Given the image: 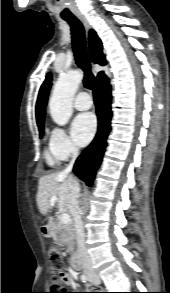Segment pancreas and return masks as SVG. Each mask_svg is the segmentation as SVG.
<instances>
[{
  "label": "pancreas",
  "instance_id": "cf45deb5",
  "mask_svg": "<svg viewBox=\"0 0 170 293\" xmlns=\"http://www.w3.org/2000/svg\"><path fill=\"white\" fill-rule=\"evenodd\" d=\"M52 236L57 244L67 246V251L71 254L74 253L76 234L73 223L63 224L61 221L56 222L52 229Z\"/></svg>",
  "mask_w": 170,
  "mask_h": 293
}]
</instances>
